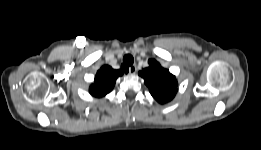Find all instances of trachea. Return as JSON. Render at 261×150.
I'll use <instances>...</instances> for the list:
<instances>
[{
    "label": "trachea",
    "instance_id": "1",
    "mask_svg": "<svg viewBox=\"0 0 261 150\" xmlns=\"http://www.w3.org/2000/svg\"><path fill=\"white\" fill-rule=\"evenodd\" d=\"M123 62L126 66H131L134 63V58L132 55L127 54L123 57ZM124 68V66H123Z\"/></svg>",
    "mask_w": 261,
    "mask_h": 150
}]
</instances>
